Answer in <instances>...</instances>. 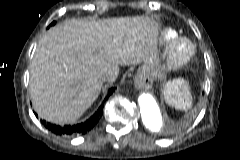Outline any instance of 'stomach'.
<instances>
[{
  "label": "stomach",
  "instance_id": "1",
  "mask_svg": "<svg viewBox=\"0 0 240 160\" xmlns=\"http://www.w3.org/2000/svg\"><path fill=\"white\" fill-rule=\"evenodd\" d=\"M144 69L150 76H155L160 69L158 60L156 58H152L148 63H145Z\"/></svg>",
  "mask_w": 240,
  "mask_h": 160
}]
</instances>
